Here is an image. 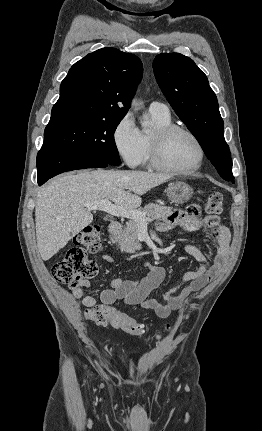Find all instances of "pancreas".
<instances>
[{
	"mask_svg": "<svg viewBox=\"0 0 262 431\" xmlns=\"http://www.w3.org/2000/svg\"><path fill=\"white\" fill-rule=\"evenodd\" d=\"M140 211L145 213L147 218L157 220L165 218L170 213L171 208L149 203ZM138 229L139 224L135 220L130 219L126 222V226L112 238V241L118 243L122 252L133 253L141 249V244L138 241Z\"/></svg>",
	"mask_w": 262,
	"mask_h": 431,
	"instance_id": "1",
	"label": "pancreas"
}]
</instances>
